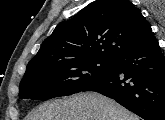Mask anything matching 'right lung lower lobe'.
<instances>
[{"label": "right lung lower lobe", "instance_id": "obj_1", "mask_svg": "<svg viewBox=\"0 0 165 120\" xmlns=\"http://www.w3.org/2000/svg\"><path fill=\"white\" fill-rule=\"evenodd\" d=\"M82 91L110 97L144 120H165V58L155 36L115 59L108 75Z\"/></svg>", "mask_w": 165, "mask_h": 120}]
</instances>
